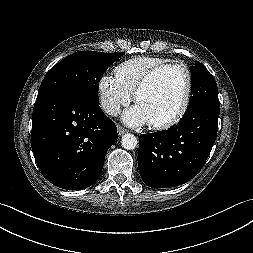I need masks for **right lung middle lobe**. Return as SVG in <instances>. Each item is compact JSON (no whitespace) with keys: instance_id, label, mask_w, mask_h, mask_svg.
<instances>
[{"instance_id":"obj_1","label":"right lung middle lobe","mask_w":253,"mask_h":253,"mask_svg":"<svg viewBox=\"0 0 253 253\" xmlns=\"http://www.w3.org/2000/svg\"><path fill=\"white\" fill-rule=\"evenodd\" d=\"M122 55L79 51L67 56L46 74L37 98L60 93L98 104L99 81L106 69Z\"/></svg>"}]
</instances>
